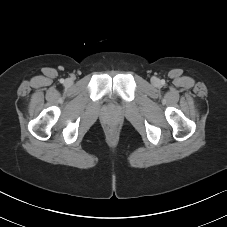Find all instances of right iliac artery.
Listing matches in <instances>:
<instances>
[{"mask_svg": "<svg viewBox=\"0 0 227 227\" xmlns=\"http://www.w3.org/2000/svg\"><path fill=\"white\" fill-rule=\"evenodd\" d=\"M60 82H61V83H64V79H61Z\"/></svg>", "mask_w": 227, "mask_h": 227, "instance_id": "obj_1", "label": "right iliac artery"}]
</instances>
